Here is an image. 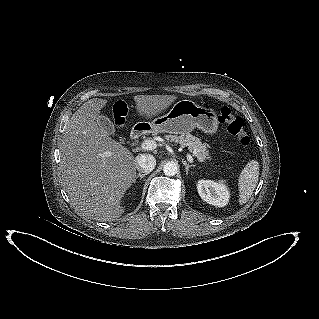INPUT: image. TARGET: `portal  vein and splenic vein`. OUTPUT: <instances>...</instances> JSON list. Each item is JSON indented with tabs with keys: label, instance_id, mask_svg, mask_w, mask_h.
<instances>
[{
	"label": "portal vein and splenic vein",
	"instance_id": "1",
	"mask_svg": "<svg viewBox=\"0 0 319 319\" xmlns=\"http://www.w3.org/2000/svg\"><path fill=\"white\" fill-rule=\"evenodd\" d=\"M156 147H157V144L154 140H146L142 142L141 144V148L147 151L154 150ZM187 160L188 162L193 163V157L190 154L187 155Z\"/></svg>",
	"mask_w": 319,
	"mask_h": 319
}]
</instances>
